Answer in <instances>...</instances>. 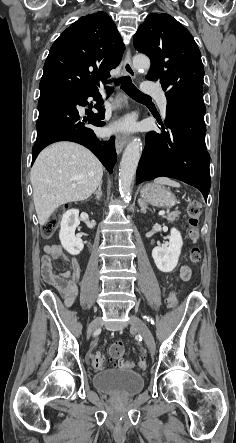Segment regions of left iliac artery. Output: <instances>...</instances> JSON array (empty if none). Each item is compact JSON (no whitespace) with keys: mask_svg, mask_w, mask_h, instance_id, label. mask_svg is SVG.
I'll list each match as a JSON object with an SVG mask.
<instances>
[{"mask_svg":"<svg viewBox=\"0 0 236 443\" xmlns=\"http://www.w3.org/2000/svg\"><path fill=\"white\" fill-rule=\"evenodd\" d=\"M144 318L148 321V322H151V324H155L154 323V320L151 318V317H147V316H144Z\"/></svg>","mask_w":236,"mask_h":443,"instance_id":"1","label":"left iliac artery"}]
</instances>
